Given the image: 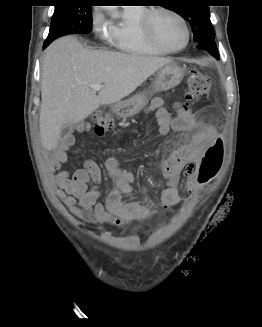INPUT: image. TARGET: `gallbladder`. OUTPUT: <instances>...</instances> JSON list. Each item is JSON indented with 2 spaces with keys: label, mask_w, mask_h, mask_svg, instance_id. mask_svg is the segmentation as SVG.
I'll use <instances>...</instances> for the list:
<instances>
[{
  "label": "gallbladder",
  "mask_w": 262,
  "mask_h": 327,
  "mask_svg": "<svg viewBox=\"0 0 262 327\" xmlns=\"http://www.w3.org/2000/svg\"><path fill=\"white\" fill-rule=\"evenodd\" d=\"M74 126L73 125H67L62 129V135L68 136L73 132Z\"/></svg>",
  "instance_id": "1"
}]
</instances>
